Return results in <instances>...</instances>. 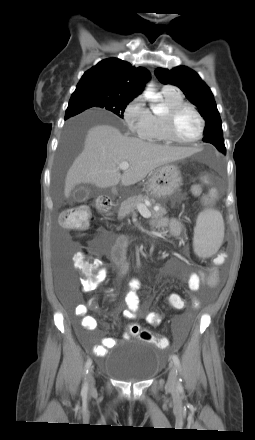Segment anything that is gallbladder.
Returning a JSON list of instances; mask_svg holds the SVG:
<instances>
[{
    "mask_svg": "<svg viewBox=\"0 0 255 440\" xmlns=\"http://www.w3.org/2000/svg\"><path fill=\"white\" fill-rule=\"evenodd\" d=\"M89 196H90V190L87 189L86 187L81 186L73 190L70 199L73 202H84L89 198Z\"/></svg>",
    "mask_w": 255,
    "mask_h": 440,
    "instance_id": "bac80fb5",
    "label": "gallbladder"
}]
</instances>
